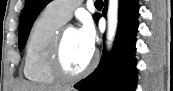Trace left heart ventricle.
<instances>
[{
	"label": "left heart ventricle",
	"mask_w": 173,
	"mask_h": 91,
	"mask_svg": "<svg viewBox=\"0 0 173 91\" xmlns=\"http://www.w3.org/2000/svg\"><path fill=\"white\" fill-rule=\"evenodd\" d=\"M92 53L93 51L88 50L81 44L75 29H69L66 32L62 58L69 71L77 73L84 69L90 62Z\"/></svg>",
	"instance_id": "1"
}]
</instances>
